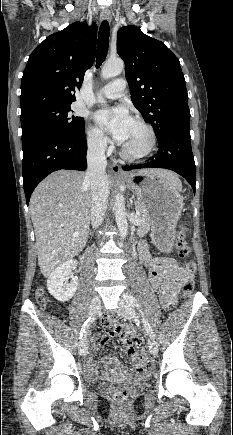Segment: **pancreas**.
Returning a JSON list of instances; mask_svg holds the SVG:
<instances>
[{
	"label": "pancreas",
	"instance_id": "cf45deb5",
	"mask_svg": "<svg viewBox=\"0 0 233 435\" xmlns=\"http://www.w3.org/2000/svg\"><path fill=\"white\" fill-rule=\"evenodd\" d=\"M136 210L140 212V214L137 216L139 221L137 234L140 236H144L146 233H148L151 226L147 217V211L146 208L141 203H138L136 205Z\"/></svg>",
	"mask_w": 233,
	"mask_h": 435
}]
</instances>
